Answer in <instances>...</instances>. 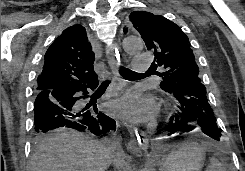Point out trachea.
<instances>
[{
  "label": "trachea",
  "instance_id": "3493384b",
  "mask_svg": "<svg viewBox=\"0 0 245 171\" xmlns=\"http://www.w3.org/2000/svg\"><path fill=\"white\" fill-rule=\"evenodd\" d=\"M120 74L126 79H130L139 75V73H136L125 67H120ZM109 83V80H106L101 84V86H107Z\"/></svg>",
  "mask_w": 245,
  "mask_h": 171
}]
</instances>
